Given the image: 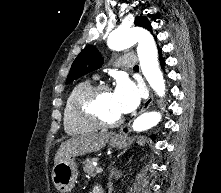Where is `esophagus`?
Segmentation results:
<instances>
[{
    "mask_svg": "<svg viewBox=\"0 0 221 193\" xmlns=\"http://www.w3.org/2000/svg\"><path fill=\"white\" fill-rule=\"evenodd\" d=\"M152 103H153V94H152V92H150L149 97L143 103V106H142L139 113H142V112L146 111L151 106ZM129 127H130V123L125 125L124 127H122L121 130H120V134L125 133L129 129Z\"/></svg>",
    "mask_w": 221,
    "mask_h": 193,
    "instance_id": "1",
    "label": "esophagus"
}]
</instances>
